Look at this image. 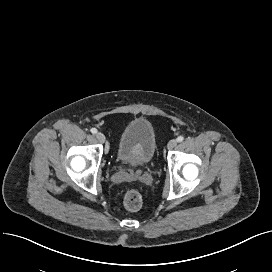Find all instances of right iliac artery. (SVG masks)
Instances as JSON below:
<instances>
[{
    "mask_svg": "<svg viewBox=\"0 0 272 272\" xmlns=\"http://www.w3.org/2000/svg\"><path fill=\"white\" fill-rule=\"evenodd\" d=\"M90 131H91L92 134H96L97 133V129L96 128H92Z\"/></svg>",
    "mask_w": 272,
    "mask_h": 272,
    "instance_id": "right-iliac-artery-1",
    "label": "right iliac artery"
}]
</instances>
